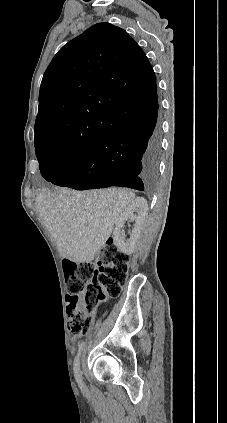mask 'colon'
Segmentation results:
<instances>
[{"label": "colon", "mask_w": 227, "mask_h": 423, "mask_svg": "<svg viewBox=\"0 0 227 423\" xmlns=\"http://www.w3.org/2000/svg\"><path fill=\"white\" fill-rule=\"evenodd\" d=\"M129 270V256L108 241L95 262H64L67 286V328L71 335L85 334L96 306L120 294Z\"/></svg>", "instance_id": "5ec220e1"}]
</instances>
